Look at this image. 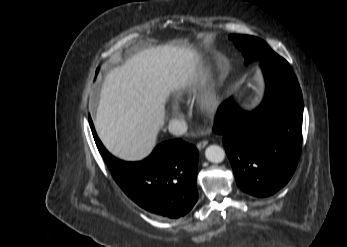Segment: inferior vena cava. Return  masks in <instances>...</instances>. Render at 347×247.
<instances>
[{
  "label": "inferior vena cava",
  "mask_w": 347,
  "mask_h": 247,
  "mask_svg": "<svg viewBox=\"0 0 347 247\" xmlns=\"http://www.w3.org/2000/svg\"><path fill=\"white\" fill-rule=\"evenodd\" d=\"M187 124L184 120L173 119L169 122L168 130L171 134L179 136L183 135L187 131Z\"/></svg>",
  "instance_id": "602c4592"
}]
</instances>
